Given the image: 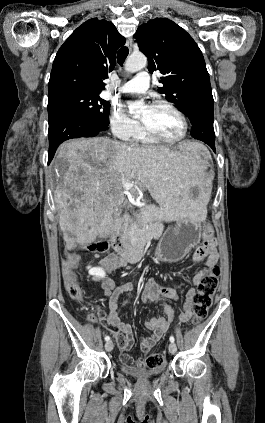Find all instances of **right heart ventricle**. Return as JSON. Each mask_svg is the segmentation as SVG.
I'll return each mask as SVG.
<instances>
[{
    "label": "right heart ventricle",
    "instance_id": "1",
    "mask_svg": "<svg viewBox=\"0 0 265 423\" xmlns=\"http://www.w3.org/2000/svg\"><path fill=\"white\" fill-rule=\"evenodd\" d=\"M133 141L141 142L143 144H153L155 143L154 140L147 137L141 129L138 130V132L135 134V136L132 138Z\"/></svg>",
    "mask_w": 265,
    "mask_h": 423
}]
</instances>
